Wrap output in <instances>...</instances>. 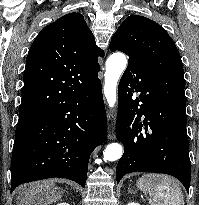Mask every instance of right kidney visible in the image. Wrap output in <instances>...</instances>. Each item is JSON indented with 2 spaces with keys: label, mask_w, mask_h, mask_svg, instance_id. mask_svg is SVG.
<instances>
[{
  "label": "right kidney",
  "mask_w": 199,
  "mask_h": 205,
  "mask_svg": "<svg viewBox=\"0 0 199 205\" xmlns=\"http://www.w3.org/2000/svg\"><path fill=\"white\" fill-rule=\"evenodd\" d=\"M57 205H69L68 203H59Z\"/></svg>",
  "instance_id": "ca27d5eb"
}]
</instances>
